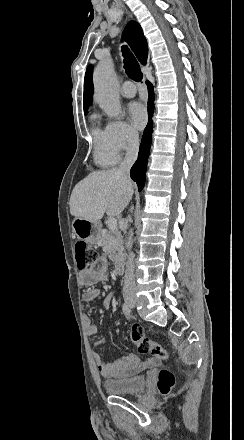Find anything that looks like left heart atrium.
<instances>
[{
	"label": "left heart atrium",
	"mask_w": 244,
	"mask_h": 440,
	"mask_svg": "<svg viewBox=\"0 0 244 440\" xmlns=\"http://www.w3.org/2000/svg\"><path fill=\"white\" fill-rule=\"evenodd\" d=\"M129 115L133 126L141 129L147 121V113L145 107L139 102H133L129 105Z\"/></svg>",
	"instance_id": "39dd6f15"
}]
</instances>
